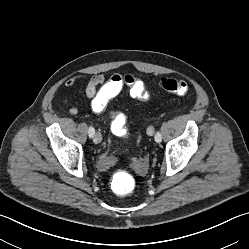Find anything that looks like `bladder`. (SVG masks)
I'll list each match as a JSON object with an SVG mask.
<instances>
[{"label": "bladder", "mask_w": 249, "mask_h": 249, "mask_svg": "<svg viewBox=\"0 0 249 249\" xmlns=\"http://www.w3.org/2000/svg\"><path fill=\"white\" fill-rule=\"evenodd\" d=\"M99 169H105L107 167V165L100 163L97 165Z\"/></svg>", "instance_id": "bladder-1"}]
</instances>
